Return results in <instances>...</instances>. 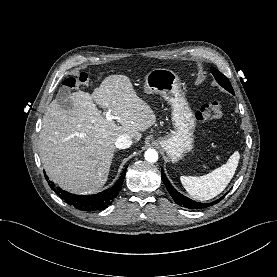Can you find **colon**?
<instances>
[{"label": "colon", "mask_w": 277, "mask_h": 277, "mask_svg": "<svg viewBox=\"0 0 277 277\" xmlns=\"http://www.w3.org/2000/svg\"><path fill=\"white\" fill-rule=\"evenodd\" d=\"M89 83V78L86 74L81 73L77 77H69L63 81V85L69 89H75L80 86H85ZM225 112L223 104L218 100H210L195 113V118L200 123H212L220 121L224 118Z\"/></svg>", "instance_id": "5ec220e1"}]
</instances>
